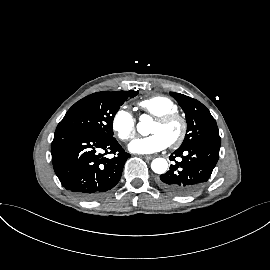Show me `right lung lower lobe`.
<instances>
[{
  "label": "right lung lower lobe",
  "instance_id": "98d812e1",
  "mask_svg": "<svg viewBox=\"0 0 270 270\" xmlns=\"http://www.w3.org/2000/svg\"><path fill=\"white\" fill-rule=\"evenodd\" d=\"M111 153L115 157L105 156ZM51 154L62 186L85 200L100 197L112 189L130 157L115 138L104 140L90 133L67 130L55 131Z\"/></svg>",
  "mask_w": 270,
  "mask_h": 270
}]
</instances>
